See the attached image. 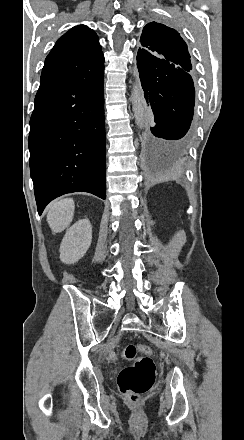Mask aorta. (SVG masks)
Listing matches in <instances>:
<instances>
[{"mask_svg":"<svg viewBox=\"0 0 244 440\" xmlns=\"http://www.w3.org/2000/svg\"><path fill=\"white\" fill-rule=\"evenodd\" d=\"M132 109L137 125L141 128L144 124V96L138 85L133 87L132 93Z\"/></svg>","mask_w":244,"mask_h":440,"instance_id":"aorta-1","label":"aorta"}]
</instances>
